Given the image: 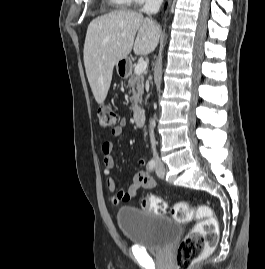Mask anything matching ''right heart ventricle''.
Here are the masks:
<instances>
[{
  "mask_svg": "<svg viewBox=\"0 0 265 269\" xmlns=\"http://www.w3.org/2000/svg\"><path fill=\"white\" fill-rule=\"evenodd\" d=\"M114 7L118 9H124L128 7L131 2L130 0H108Z\"/></svg>",
  "mask_w": 265,
  "mask_h": 269,
  "instance_id": "right-heart-ventricle-1",
  "label": "right heart ventricle"
}]
</instances>
